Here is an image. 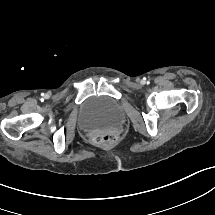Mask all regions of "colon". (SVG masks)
Instances as JSON below:
<instances>
[{
	"instance_id": "obj_1",
	"label": "colon",
	"mask_w": 215,
	"mask_h": 215,
	"mask_svg": "<svg viewBox=\"0 0 215 215\" xmlns=\"http://www.w3.org/2000/svg\"><path fill=\"white\" fill-rule=\"evenodd\" d=\"M109 140H110V138H108V137H100L96 140V142L100 145L105 146Z\"/></svg>"
}]
</instances>
